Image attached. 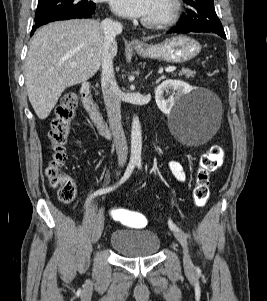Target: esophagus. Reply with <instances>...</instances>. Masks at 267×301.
<instances>
[{
    "label": "esophagus",
    "mask_w": 267,
    "mask_h": 301,
    "mask_svg": "<svg viewBox=\"0 0 267 301\" xmlns=\"http://www.w3.org/2000/svg\"><path fill=\"white\" fill-rule=\"evenodd\" d=\"M131 44H132L134 47H141V46H143V42H142L140 39H138V38H133V39L131 40Z\"/></svg>",
    "instance_id": "34e87169"
}]
</instances>
